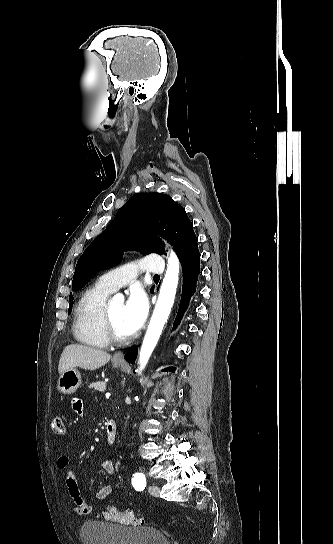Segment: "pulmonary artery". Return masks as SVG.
<instances>
[{"label":"pulmonary artery","instance_id":"1","mask_svg":"<svg viewBox=\"0 0 333 544\" xmlns=\"http://www.w3.org/2000/svg\"><path fill=\"white\" fill-rule=\"evenodd\" d=\"M144 271L154 274L163 273L164 262L162 258L151 255L132 261L104 273L98 282L109 290L115 291L133 281L139 273Z\"/></svg>","mask_w":333,"mask_h":544}]
</instances>
